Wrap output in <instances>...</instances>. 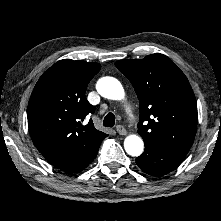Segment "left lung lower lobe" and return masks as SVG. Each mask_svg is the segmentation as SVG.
Segmentation results:
<instances>
[{"instance_id": "left-lung-lower-lobe-1", "label": "left lung lower lobe", "mask_w": 221, "mask_h": 221, "mask_svg": "<svg viewBox=\"0 0 221 221\" xmlns=\"http://www.w3.org/2000/svg\"><path fill=\"white\" fill-rule=\"evenodd\" d=\"M145 151L136 158L137 165L149 175L160 177L175 170L186 154L150 142H144Z\"/></svg>"}]
</instances>
